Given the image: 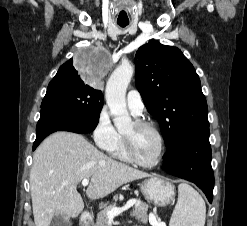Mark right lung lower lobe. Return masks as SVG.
Wrapping results in <instances>:
<instances>
[{"label": "right lung lower lobe", "mask_w": 247, "mask_h": 226, "mask_svg": "<svg viewBox=\"0 0 247 226\" xmlns=\"http://www.w3.org/2000/svg\"><path fill=\"white\" fill-rule=\"evenodd\" d=\"M97 124L92 119L79 118L54 108L41 111L36 127L37 136L33 150L46 136L55 131H70L83 134L93 131Z\"/></svg>", "instance_id": "right-lung-lower-lobe-1"}]
</instances>
